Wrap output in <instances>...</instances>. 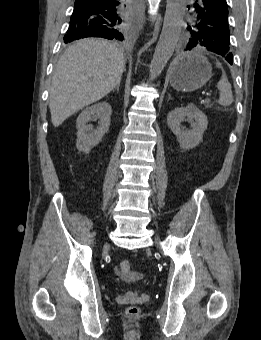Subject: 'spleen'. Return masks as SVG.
Masks as SVG:
<instances>
[{
  "mask_svg": "<svg viewBox=\"0 0 261 340\" xmlns=\"http://www.w3.org/2000/svg\"><path fill=\"white\" fill-rule=\"evenodd\" d=\"M217 88L220 91L218 103L224 107L231 105L233 102V94L231 85L225 75H222L220 81L217 84Z\"/></svg>",
  "mask_w": 261,
  "mask_h": 340,
  "instance_id": "spleen-1",
  "label": "spleen"
}]
</instances>
